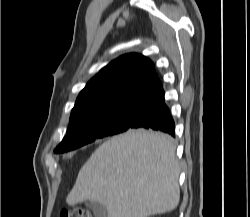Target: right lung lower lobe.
<instances>
[{
  "instance_id": "right-lung-lower-lobe-1",
  "label": "right lung lower lobe",
  "mask_w": 250,
  "mask_h": 217,
  "mask_svg": "<svg viewBox=\"0 0 250 217\" xmlns=\"http://www.w3.org/2000/svg\"><path fill=\"white\" fill-rule=\"evenodd\" d=\"M130 128L162 131L175 137V123L165 104L163 88L140 103Z\"/></svg>"
}]
</instances>
